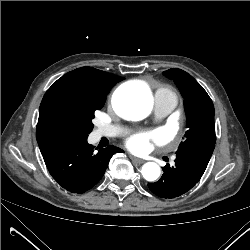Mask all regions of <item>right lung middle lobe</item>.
Here are the masks:
<instances>
[{"label":"right lung middle lobe","mask_w":250,"mask_h":250,"mask_svg":"<svg viewBox=\"0 0 250 250\" xmlns=\"http://www.w3.org/2000/svg\"><path fill=\"white\" fill-rule=\"evenodd\" d=\"M108 93L109 90L97 96H72L68 99V113L73 124V134L88 136L94 127L92 123L94 112L104 106Z\"/></svg>","instance_id":"1"}]
</instances>
